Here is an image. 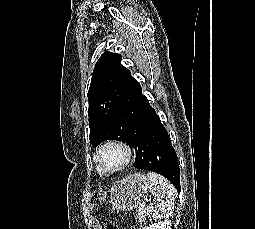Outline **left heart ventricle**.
Returning a JSON list of instances; mask_svg holds the SVG:
<instances>
[{
	"instance_id": "1",
	"label": "left heart ventricle",
	"mask_w": 255,
	"mask_h": 229,
	"mask_svg": "<svg viewBox=\"0 0 255 229\" xmlns=\"http://www.w3.org/2000/svg\"><path fill=\"white\" fill-rule=\"evenodd\" d=\"M124 159L123 152L118 148H108L102 154V160L106 166L119 165Z\"/></svg>"
}]
</instances>
